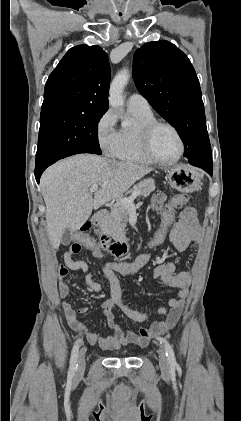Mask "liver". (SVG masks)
Returning <instances> with one entry per match:
<instances>
[{
  "label": "liver",
  "instance_id": "obj_1",
  "mask_svg": "<svg viewBox=\"0 0 241 421\" xmlns=\"http://www.w3.org/2000/svg\"><path fill=\"white\" fill-rule=\"evenodd\" d=\"M153 169L93 154L61 160L45 170L40 187L46 205V222L52 247L58 249L66 228L77 231L93 209L120 198L136 181ZM100 188L92 197L89 188Z\"/></svg>",
  "mask_w": 241,
  "mask_h": 421
}]
</instances>
